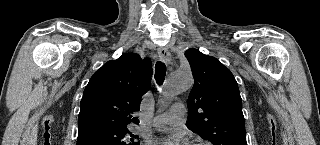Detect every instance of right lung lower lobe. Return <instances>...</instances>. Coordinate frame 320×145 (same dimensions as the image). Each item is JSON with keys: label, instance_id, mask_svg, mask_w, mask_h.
<instances>
[{"label": "right lung lower lobe", "instance_id": "98d812e1", "mask_svg": "<svg viewBox=\"0 0 320 145\" xmlns=\"http://www.w3.org/2000/svg\"><path fill=\"white\" fill-rule=\"evenodd\" d=\"M85 145H100V144L90 143V144H85Z\"/></svg>", "mask_w": 320, "mask_h": 145}]
</instances>
